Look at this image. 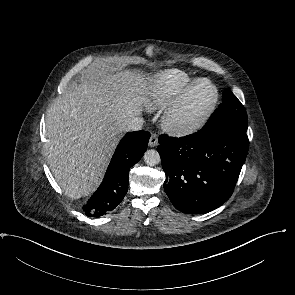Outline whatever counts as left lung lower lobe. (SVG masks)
Here are the masks:
<instances>
[{
  "instance_id": "0a47b994",
  "label": "left lung lower lobe",
  "mask_w": 295,
  "mask_h": 295,
  "mask_svg": "<svg viewBox=\"0 0 295 295\" xmlns=\"http://www.w3.org/2000/svg\"><path fill=\"white\" fill-rule=\"evenodd\" d=\"M158 141L166 174L164 190L175 208L205 214L230 198L247 156L245 132L203 127L181 138L161 135Z\"/></svg>"
}]
</instances>
